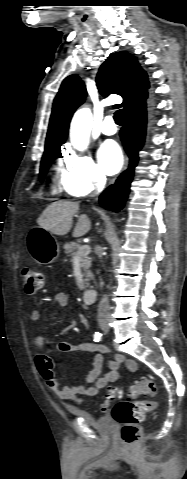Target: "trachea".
Wrapping results in <instances>:
<instances>
[{"mask_svg": "<svg viewBox=\"0 0 187 479\" xmlns=\"http://www.w3.org/2000/svg\"><path fill=\"white\" fill-rule=\"evenodd\" d=\"M114 120L118 125H122L124 123V111L122 109H119L114 113Z\"/></svg>", "mask_w": 187, "mask_h": 479, "instance_id": "trachea-1", "label": "trachea"}]
</instances>
